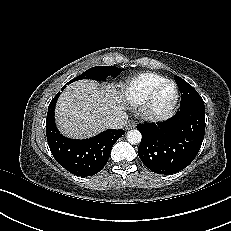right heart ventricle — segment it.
<instances>
[{
  "label": "right heart ventricle",
  "mask_w": 231,
  "mask_h": 231,
  "mask_svg": "<svg viewBox=\"0 0 231 231\" xmlns=\"http://www.w3.org/2000/svg\"><path fill=\"white\" fill-rule=\"evenodd\" d=\"M164 78L158 74L146 72L141 73L128 80L124 87V95L132 106L140 105L149 92Z\"/></svg>",
  "instance_id": "right-heart-ventricle-1"
}]
</instances>
